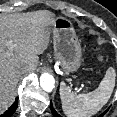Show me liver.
Instances as JSON below:
<instances>
[{"label":"liver","instance_id":"1","mask_svg":"<svg viewBox=\"0 0 117 117\" xmlns=\"http://www.w3.org/2000/svg\"><path fill=\"white\" fill-rule=\"evenodd\" d=\"M54 18L47 10L0 17V114L13 100L19 69L33 71L38 66V55L48 47ZM10 43L15 55L9 54Z\"/></svg>","mask_w":117,"mask_h":117}]
</instances>
